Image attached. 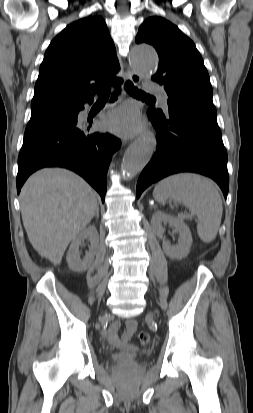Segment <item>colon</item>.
<instances>
[{
	"label": "colon",
	"instance_id": "1",
	"mask_svg": "<svg viewBox=\"0 0 253 413\" xmlns=\"http://www.w3.org/2000/svg\"><path fill=\"white\" fill-rule=\"evenodd\" d=\"M137 338L141 344H147L150 341V335L147 332H140Z\"/></svg>",
	"mask_w": 253,
	"mask_h": 413
}]
</instances>
